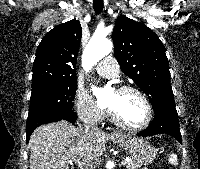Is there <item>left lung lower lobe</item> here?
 Returning a JSON list of instances; mask_svg holds the SVG:
<instances>
[{"label":"left lung lower lobe","mask_w":200,"mask_h":169,"mask_svg":"<svg viewBox=\"0 0 200 169\" xmlns=\"http://www.w3.org/2000/svg\"><path fill=\"white\" fill-rule=\"evenodd\" d=\"M161 133L168 134L181 143V133L176 108L158 109L155 112L151 124L145 130L138 133V136L147 137Z\"/></svg>","instance_id":"0a47b994"}]
</instances>
